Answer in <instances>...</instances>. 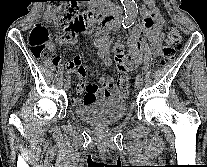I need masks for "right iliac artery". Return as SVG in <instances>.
Returning <instances> with one entry per match:
<instances>
[{"label": "right iliac artery", "mask_w": 207, "mask_h": 167, "mask_svg": "<svg viewBox=\"0 0 207 167\" xmlns=\"http://www.w3.org/2000/svg\"><path fill=\"white\" fill-rule=\"evenodd\" d=\"M65 81L70 82V76H68Z\"/></svg>", "instance_id": "82829eb1"}]
</instances>
